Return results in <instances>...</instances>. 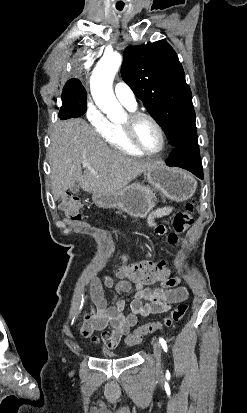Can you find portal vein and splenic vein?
I'll return each mask as SVG.
<instances>
[{
	"instance_id": "1",
	"label": "portal vein and splenic vein",
	"mask_w": 247,
	"mask_h": 413,
	"mask_svg": "<svg viewBox=\"0 0 247 413\" xmlns=\"http://www.w3.org/2000/svg\"><path fill=\"white\" fill-rule=\"evenodd\" d=\"M83 166H89L90 162H82Z\"/></svg>"
}]
</instances>
